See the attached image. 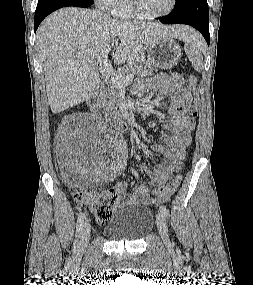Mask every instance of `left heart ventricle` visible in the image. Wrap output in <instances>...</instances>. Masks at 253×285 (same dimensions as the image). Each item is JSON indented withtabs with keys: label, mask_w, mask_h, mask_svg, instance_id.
<instances>
[{
	"label": "left heart ventricle",
	"mask_w": 253,
	"mask_h": 285,
	"mask_svg": "<svg viewBox=\"0 0 253 285\" xmlns=\"http://www.w3.org/2000/svg\"><path fill=\"white\" fill-rule=\"evenodd\" d=\"M141 10L148 14H159L166 11L171 0H138Z\"/></svg>",
	"instance_id": "left-heart-ventricle-1"
}]
</instances>
